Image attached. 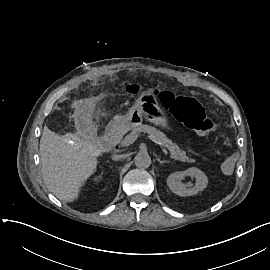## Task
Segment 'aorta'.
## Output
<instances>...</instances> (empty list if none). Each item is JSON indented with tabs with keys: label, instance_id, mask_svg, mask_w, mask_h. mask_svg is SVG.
<instances>
[{
	"label": "aorta",
	"instance_id": "1",
	"mask_svg": "<svg viewBox=\"0 0 270 270\" xmlns=\"http://www.w3.org/2000/svg\"><path fill=\"white\" fill-rule=\"evenodd\" d=\"M135 165L139 168H148L151 164V157L146 152L138 153L135 158Z\"/></svg>",
	"mask_w": 270,
	"mask_h": 270
}]
</instances>
